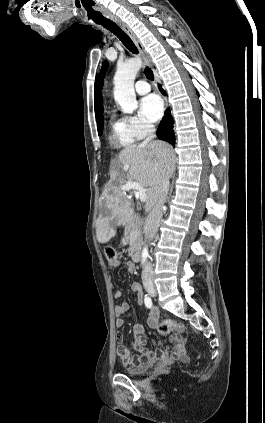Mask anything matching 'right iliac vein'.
I'll list each match as a JSON object with an SVG mask.
<instances>
[{
    "instance_id": "63e3f726",
    "label": "right iliac vein",
    "mask_w": 265,
    "mask_h": 423,
    "mask_svg": "<svg viewBox=\"0 0 265 423\" xmlns=\"http://www.w3.org/2000/svg\"><path fill=\"white\" fill-rule=\"evenodd\" d=\"M143 284H144L145 290L147 291L149 295L153 297L157 295L156 288L151 280H144Z\"/></svg>"
}]
</instances>
